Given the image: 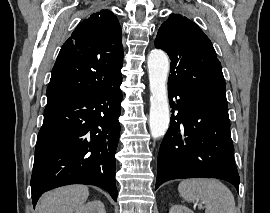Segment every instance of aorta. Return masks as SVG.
Segmentation results:
<instances>
[{
	"instance_id": "aorta-1",
	"label": "aorta",
	"mask_w": 270,
	"mask_h": 213,
	"mask_svg": "<svg viewBox=\"0 0 270 213\" xmlns=\"http://www.w3.org/2000/svg\"><path fill=\"white\" fill-rule=\"evenodd\" d=\"M150 84V132L153 138L164 136L169 127V104L166 81L169 72V59L162 50H153L148 56Z\"/></svg>"
}]
</instances>
